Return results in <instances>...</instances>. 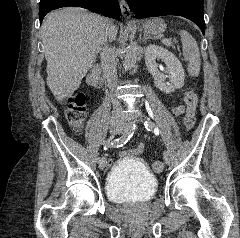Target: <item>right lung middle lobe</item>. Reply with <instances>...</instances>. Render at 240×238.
Listing matches in <instances>:
<instances>
[{"label":"right lung middle lobe","mask_w":240,"mask_h":238,"mask_svg":"<svg viewBox=\"0 0 240 238\" xmlns=\"http://www.w3.org/2000/svg\"><path fill=\"white\" fill-rule=\"evenodd\" d=\"M47 1H49V0H41L39 6H40V7L43 6Z\"/></svg>","instance_id":"obj_1"}]
</instances>
